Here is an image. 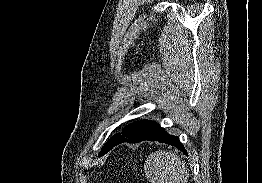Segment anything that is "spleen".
<instances>
[{
    "label": "spleen",
    "instance_id": "obj_1",
    "mask_svg": "<svg viewBox=\"0 0 262 183\" xmlns=\"http://www.w3.org/2000/svg\"><path fill=\"white\" fill-rule=\"evenodd\" d=\"M145 174L151 183H186L189 177L185 162L166 150H158L148 156Z\"/></svg>",
    "mask_w": 262,
    "mask_h": 183
}]
</instances>
